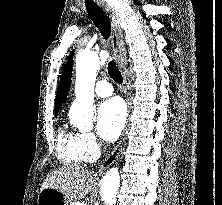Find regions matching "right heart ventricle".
<instances>
[{
    "instance_id": "e07e8e85",
    "label": "right heart ventricle",
    "mask_w": 222,
    "mask_h": 205,
    "mask_svg": "<svg viewBox=\"0 0 222 205\" xmlns=\"http://www.w3.org/2000/svg\"><path fill=\"white\" fill-rule=\"evenodd\" d=\"M57 156L63 164L71 167L90 161L82 148L80 134L65 128H62L58 134Z\"/></svg>"
}]
</instances>
